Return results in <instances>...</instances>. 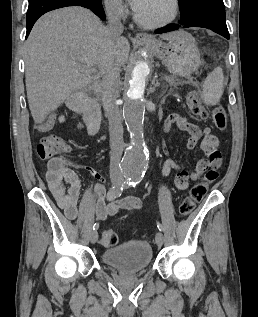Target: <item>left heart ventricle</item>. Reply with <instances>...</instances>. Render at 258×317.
<instances>
[{
    "instance_id": "1",
    "label": "left heart ventricle",
    "mask_w": 258,
    "mask_h": 317,
    "mask_svg": "<svg viewBox=\"0 0 258 317\" xmlns=\"http://www.w3.org/2000/svg\"><path fill=\"white\" fill-rule=\"evenodd\" d=\"M141 20L147 26H156L172 13V4L166 0H156L139 11Z\"/></svg>"
}]
</instances>
